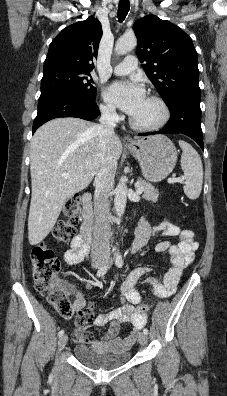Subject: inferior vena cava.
Returning <instances> with one entry per match:
<instances>
[{
  "mask_svg": "<svg viewBox=\"0 0 227 396\" xmlns=\"http://www.w3.org/2000/svg\"><path fill=\"white\" fill-rule=\"evenodd\" d=\"M117 115L114 109H101V117L96 131L102 147L100 167L96 173L94 186L95 225L92 241L93 256L110 255V202L109 196L114 185L117 162L111 156V138L115 136L114 127Z\"/></svg>",
  "mask_w": 227,
  "mask_h": 396,
  "instance_id": "obj_1",
  "label": "inferior vena cava"
}]
</instances>
